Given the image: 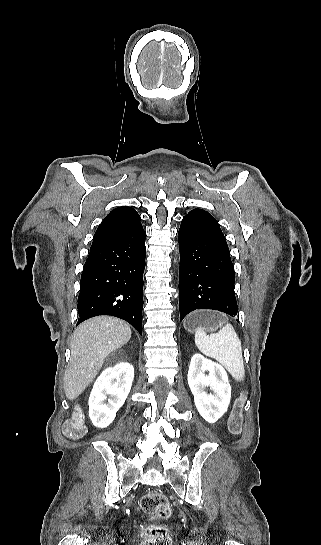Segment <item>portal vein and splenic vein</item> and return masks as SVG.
Returning <instances> with one entry per match:
<instances>
[{
	"label": "portal vein and splenic vein",
	"mask_w": 321,
	"mask_h": 545,
	"mask_svg": "<svg viewBox=\"0 0 321 545\" xmlns=\"http://www.w3.org/2000/svg\"><path fill=\"white\" fill-rule=\"evenodd\" d=\"M220 344H223V341H220Z\"/></svg>",
	"instance_id": "1"
}]
</instances>
